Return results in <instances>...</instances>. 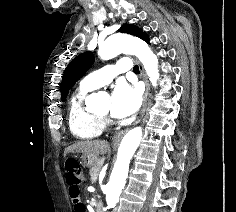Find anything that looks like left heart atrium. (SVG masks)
Segmentation results:
<instances>
[{
	"instance_id": "left-heart-atrium-1",
	"label": "left heart atrium",
	"mask_w": 236,
	"mask_h": 212,
	"mask_svg": "<svg viewBox=\"0 0 236 212\" xmlns=\"http://www.w3.org/2000/svg\"><path fill=\"white\" fill-rule=\"evenodd\" d=\"M141 102V91L137 87L119 84L112 93L110 110L117 118L128 117L139 109Z\"/></svg>"
}]
</instances>
